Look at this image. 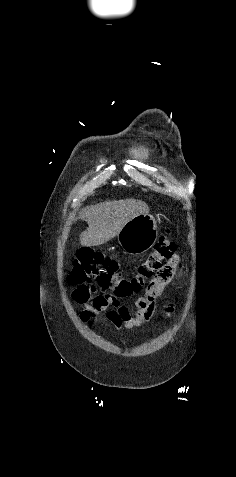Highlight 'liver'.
<instances>
[{
    "instance_id": "1",
    "label": "liver",
    "mask_w": 236,
    "mask_h": 477,
    "mask_svg": "<svg viewBox=\"0 0 236 477\" xmlns=\"http://www.w3.org/2000/svg\"><path fill=\"white\" fill-rule=\"evenodd\" d=\"M148 213V205L136 199L87 206L80 212V218L88 223L87 230L80 235V243L82 246L102 245L118 235L132 218Z\"/></svg>"
}]
</instances>
